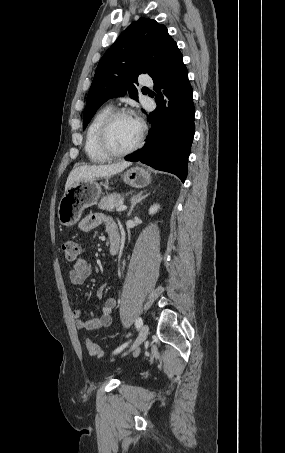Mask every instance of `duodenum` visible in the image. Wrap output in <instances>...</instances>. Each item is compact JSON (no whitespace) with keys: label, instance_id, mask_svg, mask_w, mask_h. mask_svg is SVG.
<instances>
[{"label":"duodenum","instance_id":"obj_1","mask_svg":"<svg viewBox=\"0 0 285 453\" xmlns=\"http://www.w3.org/2000/svg\"><path fill=\"white\" fill-rule=\"evenodd\" d=\"M120 248V241L117 239L110 240L109 244V254L111 256H114L118 253Z\"/></svg>","mask_w":285,"mask_h":453}]
</instances>
